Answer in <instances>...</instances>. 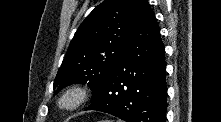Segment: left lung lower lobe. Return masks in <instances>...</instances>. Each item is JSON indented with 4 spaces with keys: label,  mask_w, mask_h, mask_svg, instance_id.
Here are the masks:
<instances>
[{
    "label": "left lung lower lobe",
    "mask_w": 221,
    "mask_h": 122,
    "mask_svg": "<svg viewBox=\"0 0 221 122\" xmlns=\"http://www.w3.org/2000/svg\"><path fill=\"white\" fill-rule=\"evenodd\" d=\"M165 50L155 15L141 0L126 45L100 95L86 110L127 122H164L167 109Z\"/></svg>",
    "instance_id": "0a47b994"
}]
</instances>
